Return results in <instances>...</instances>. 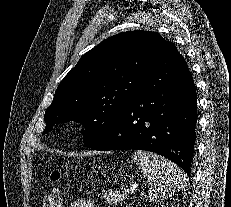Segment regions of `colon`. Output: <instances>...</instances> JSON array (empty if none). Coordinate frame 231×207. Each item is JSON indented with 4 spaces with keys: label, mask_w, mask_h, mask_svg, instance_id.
Wrapping results in <instances>:
<instances>
[{
    "label": "colon",
    "mask_w": 231,
    "mask_h": 207,
    "mask_svg": "<svg viewBox=\"0 0 231 207\" xmlns=\"http://www.w3.org/2000/svg\"><path fill=\"white\" fill-rule=\"evenodd\" d=\"M60 178L61 174L59 171L54 170L51 172L50 179L52 182L57 183ZM42 207H62L61 191L58 187L53 188L44 196Z\"/></svg>",
    "instance_id": "obj_1"
}]
</instances>
